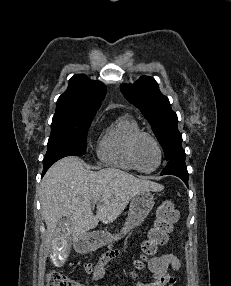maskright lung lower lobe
<instances>
[{
    "mask_svg": "<svg viewBox=\"0 0 231 286\" xmlns=\"http://www.w3.org/2000/svg\"><path fill=\"white\" fill-rule=\"evenodd\" d=\"M56 161H51L49 163H43L44 165V169H43V173H42V176L45 174V172L48 170V168Z\"/></svg>",
    "mask_w": 231,
    "mask_h": 286,
    "instance_id": "1",
    "label": "right lung lower lobe"
}]
</instances>
